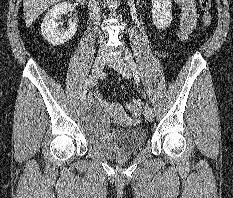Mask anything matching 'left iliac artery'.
<instances>
[{
	"mask_svg": "<svg viewBox=\"0 0 233 198\" xmlns=\"http://www.w3.org/2000/svg\"><path fill=\"white\" fill-rule=\"evenodd\" d=\"M125 60H126L128 66H129V68L133 72V74L135 76H137L139 74L137 65H136V63H135V61L133 59L132 53L130 51H128V50L125 53Z\"/></svg>",
	"mask_w": 233,
	"mask_h": 198,
	"instance_id": "44dca946",
	"label": "left iliac artery"
}]
</instances>
